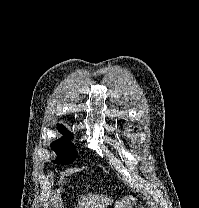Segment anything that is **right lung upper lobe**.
<instances>
[{
    "instance_id": "cb5924a9",
    "label": "right lung upper lobe",
    "mask_w": 199,
    "mask_h": 208,
    "mask_svg": "<svg viewBox=\"0 0 199 208\" xmlns=\"http://www.w3.org/2000/svg\"><path fill=\"white\" fill-rule=\"evenodd\" d=\"M59 131L62 133V134H70V132L68 131V130H66L65 128H64V126L63 125H59Z\"/></svg>"
}]
</instances>
